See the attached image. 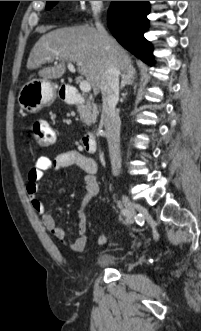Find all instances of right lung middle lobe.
Wrapping results in <instances>:
<instances>
[{
	"mask_svg": "<svg viewBox=\"0 0 201 331\" xmlns=\"http://www.w3.org/2000/svg\"><path fill=\"white\" fill-rule=\"evenodd\" d=\"M56 3L57 1H47L46 8L51 9Z\"/></svg>",
	"mask_w": 201,
	"mask_h": 331,
	"instance_id": "obj_1",
	"label": "right lung middle lobe"
}]
</instances>
